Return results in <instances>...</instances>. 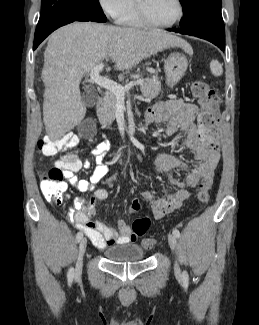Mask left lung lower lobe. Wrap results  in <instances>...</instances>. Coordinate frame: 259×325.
<instances>
[{"instance_id": "obj_1", "label": "left lung lower lobe", "mask_w": 259, "mask_h": 325, "mask_svg": "<svg viewBox=\"0 0 259 325\" xmlns=\"http://www.w3.org/2000/svg\"><path fill=\"white\" fill-rule=\"evenodd\" d=\"M168 30L208 40L222 51L225 50V28L221 13L203 14L186 27Z\"/></svg>"}]
</instances>
